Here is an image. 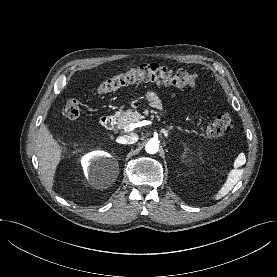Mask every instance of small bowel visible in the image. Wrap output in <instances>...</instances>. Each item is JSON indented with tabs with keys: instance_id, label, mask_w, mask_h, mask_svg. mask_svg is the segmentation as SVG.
Here are the masks:
<instances>
[{
	"instance_id": "obj_1",
	"label": "small bowel",
	"mask_w": 277,
	"mask_h": 277,
	"mask_svg": "<svg viewBox=\"0 0 277 277\" xmlns=\"http://www.w3.org/2000/svg\"><path fill=\"white\" fill-rule=\"evenodd\" d=\"M146 98L150 102V105L155 108L160 110L162 108L161 100L158 96V94L152 90H148L146 92Z\"/></svg>"
}]
</instances>
